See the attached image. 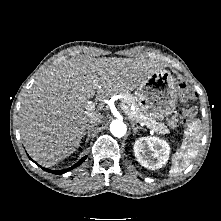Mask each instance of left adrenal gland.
Returning a JSON list of instances; mask_svg holds the SVG:
<instances>
[{
  "label": "left adrenal gland",
  "instance_id": "a2214340",
  "mask_svg": "<svg viewBox=\"0 0 221 221\" xmlns=\"http://www.w3.org/2000/svg\"><path fill=\"white\" fill-rule=\"evenodd\" d=\"M132 128H133V135H136L138 129H141V127L136 126L134 122H132Z\"/></svg>",
  "mask_w": 221,
  "mask_h": 221
}]
</instances>
